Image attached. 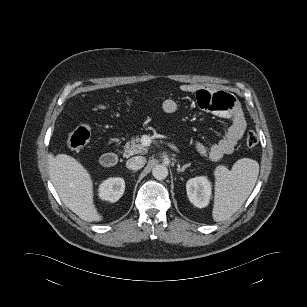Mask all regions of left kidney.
Listing matches in <instances>:
<instances>
[{"instance_id": "left-kidney-1", "label": "left kidney", "mask_w": 307, "mask_h": 307, "mask_svg": "<svg viewBox=\"0 0 307 307\" xmlns=\"http://www.w3.org/2000/svg\"><path fill=\"white\" fill-rule=\"evenodd\" d=\"M187 196L191 203L198 208H204L209 204L212 186L205 176L192 178L186 183Z\"/></svg>"}]
</instances>
